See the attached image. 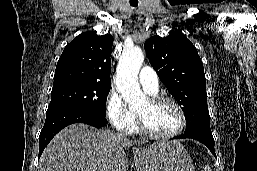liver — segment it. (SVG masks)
Here are the masks:
<instances>
[{
    "mask_svg": "<svg viewBox=\"0 0 257 171\" xmlns=\"http://www.w3.org/2000/svg\"><path fill=\"white\" fill-rule=\"evenodd\" d=\"M143 143L82 123L72 124L45 148L40 171H128L124 149Z\"/></svg>",
    "mask_w": 257,
    "mask_h": 171,
    "instance_id": "1",
    "label": "liver"
}]
</instances>
